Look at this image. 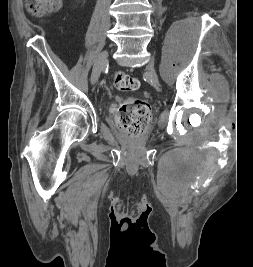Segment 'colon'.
I'll list each match as a JSON object with an SVG mask.
<instances>
[{"label": "colon", "mask_w": 253, "mask_h": 267, "mask_svg": "<svg viewBox=\"0 0 253 267\" xmlns=\"http://www.w3.org/2000/svg\"><path fill=\"white\" fill-rule=\"evenodd\" d=\"M25 5L32 15L43 17L59 10L61 0H26ZM113 82L122 91L135 90L139 86L136 78L121 71L115 73ZM148 118L149 105L136 99L123 102L116 115L118 125L132 137H138L144 132Z\"/></svg>", "instance_id": "obj_1"}]
</instances>
